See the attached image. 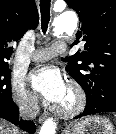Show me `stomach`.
<instances>
[{
  "mask_svg": "<svg viewBox=\"0 0 116 134\" xmlns=\"http://www.w3.org/2000/svg\"><path fill=\"white\" fill-rule=\"evenodd\" d=\"M65 134H115L113 124L103 116H90L69 126Z\"/></svg>",
  "mask_w": 116,
  "mask_h": 134,
  "instance_id": "1",
  "label": "stomach"
}]
</instances>
